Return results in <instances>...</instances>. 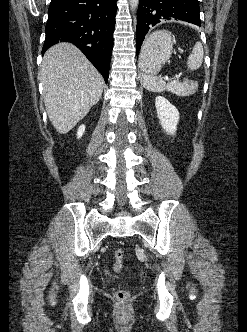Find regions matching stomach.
Instances as JSON below:
<instances>
[{"label": "stomach", "mask_w": 247, "mask_h": 332, "mask_svg": "<svg viewBox=\"0 0 247 332\" xmlns=\"http://www.w3.org/2000/svg\"><path fill=\"white\" fill-rule=\"evenodd\" d=\"M173 39L168 31H156L150 34L141 49L139 64L145 75L154 76L170 59Z\"/></svg>", "instance_id": "1"}]
</instances>
